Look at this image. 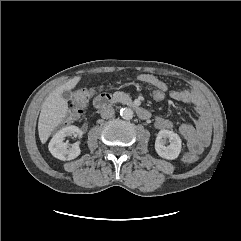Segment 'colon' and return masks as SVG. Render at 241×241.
I'll return each mask as SVG.
<instances>
[{"label": "colon", "mask_w": 241, "mask_h": 241, "mask_svg": "<svg viewBox=\"0 0 241 241\" xmlns=\"http://www.w3.org/2000/svg\"><path fill=\"white\" fill-rule=\"evenodd\" d=\"M149 93L151 98L156 102H163L167 97V91L159 86H150ZM90 97V91L81 89L77 91L71 99V108L65 119V124H70L76 121L85 108L88 99ZM198 159V156L191 152H184L182 154V160L186 163H194Z\"/></svg>", "instance_id": "colon-1"}]
</instances>
